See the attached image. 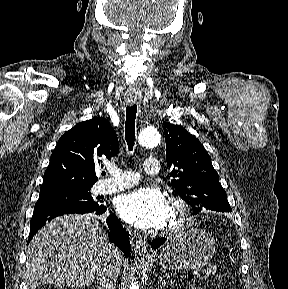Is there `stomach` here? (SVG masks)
<instances>
[{"label":"stomach","mask_w":288,"mask_h":289,"mask_svg":"<svg viewBox=\"0 0 288 289\" xmlns=\"http://www.w3.org/2000/svg\"><path fill=\"white\" fill-rule=\"evenodd\" d=\"M215 252L214 239L201 228L176 234L160 253V265L166 269L193 270L206 265Z\"/></svg>","instance_id":"0dacf381"}]
</instances>
